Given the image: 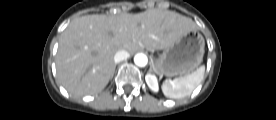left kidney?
Listing matches in <instances>:
<instances>
[{"label":"left kidney","mask_w":276,"mask_h":120,"mask_svg":"<svg viewBox=\"0 0 276 120\" xmlns=\"http://www.w3.org/2000/svg\"><path fill=\"white\" fill-rule=\"evenodd\" d=\"M145 80H146L147 85L149 86V88L152 91L157 92L159 90L158 81H157V78L155 75L148 73L145 76Z\"/></svg>","instance_id":"obj_1"}]
</instances>
